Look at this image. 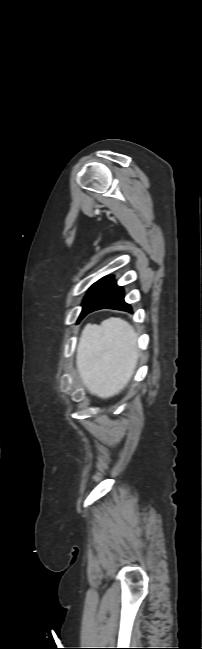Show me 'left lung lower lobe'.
<instances>
[{
  "instance_id": "0a47b994",
  "label": "left lung lower lobe",
  "mask_w": 202,
  "mask_h": 649,
  "mask_svg": "<svg viewBox=\"0 0 202 649\" xmlns=\"http://www.w3.org/2000/svg\"><path fill=\"white\" fill-rule=\"evenodd\" d=\"M103 308L116 309L132 313L131 306L124 301L123 288L117 286L116 282L113 280H111V282L102 291V293L84 310L83 314L79 317V321L88 313Z\"/></svg>"
}]
</instances>
